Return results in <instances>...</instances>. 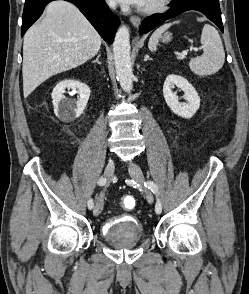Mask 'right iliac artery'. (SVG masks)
<instances>
[{"label": "right iliac artery", "instance_id": "right-iliac-artery-1", "mask_svg": "<svg viewBox=\"0 0 249 294\" xmlns=\"http://www.w3.org/2000/svg\"><path fill=\"white\" fill-rule=\"evenodd\" d=\"M105 183H106V179H104V178H100V179L98 180V182H97V184H98L99 186H103V185H105ZM93 207H94V202H93L92 199H90V200L88 201V208H89V209H93Z\"/></svg>", "mask_w": 249, "mask_h": 294}]
</instances>
